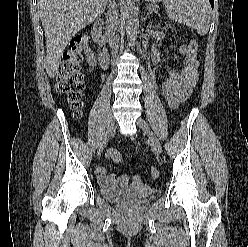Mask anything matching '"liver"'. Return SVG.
Returning <instances> with one entry per match:
<instances>
[{"mask_svg": "<svg viewBox=\"0 0 248 247\" xmlns=\"http://www.w3.org/2000/svg\"><path fill=\"white\" fill-rule=\"evenodd\" d=\"M109 0H38L37 7L46 37V72L54 78L62 54L80 30L98 19Z\"/></svg>", "mask_w": 248, "mask_h": 247, "instance_id": "6515ba94", "label": "liver"}]
</instances>
